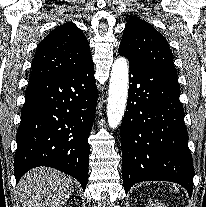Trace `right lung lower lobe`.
Listing matches in <instances>:
<instances>
[{
	"mask_svg": "<svg viewBox=\"0 0 206 207\" xmlns=\"http://www.w3.org/2000/svg\"><path fill=\"white\" fill-rule=\"evenodd\" d=\"M95 82L92 61L70 75L28 84L16 135V181L34 167L47 166L74 177L85 190Z\"/></svg>",
	"mask_w": 206,
	"mask_h": 207,
	"instance_id": "obj_1",
	"label": "right lung lower lobe"
}]
</instances>
